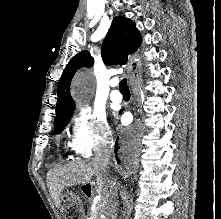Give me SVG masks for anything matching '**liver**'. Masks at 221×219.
<instances>
[{"label": "liver", "mask_w": 221, "mask_h": 219, "mask_svg": "<svg viewBox=\"0 0 221 219\" xmlns=\"http://www.w3.org/2000/svg\"><path fill=\"white\" fill-rule=\"evenodd\" d=\"M92 176L97 177L95 190L102 200L100 207L104 209L105 214L110 210H115L117 182L110 176H99L92 162L83 161H73L48 171L47 186L55 206L60 207L62 192L65 188L85 185L91 181Z\"/></svg>", "instance_id": "liver-1"}]
</instances>
